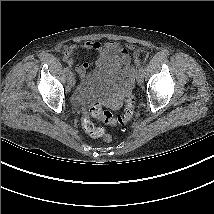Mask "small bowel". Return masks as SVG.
I'll list each match as a JSON object with an SVG mask.
<instances>
[{"mask_svg":"<svg viewBox=\"0 0 214 214\" xmlns=\"http://www.w3.org/2000/svg\"><path fill=\"white\" fill-rule=\"evenodd\" d=\"M127 49L133 52L135 63H139L140 50L138 47L132 44H128L126 46ZM124 46H122L118 42L107 41L104 43L98 41H84L79 44H74L69 46L68 52L69 55H72L74 51L77 49H85V50H94L98 53V58L96 61V66L100 70H106L110 66L116 67L119 64H122L124 67V71L126 74H129L131 70V58ZM119 53L121 57L116 54ZM65 60H68V57H65ZM71 64L70 61H67ZM92 65V62H84L82 64L77 65L76 70L80 75H84L86 70Z\"/></svg>","mask_w":214,"mask_h":214,"instance_id":"small-bowel-1","label":"small bowel"}]
</instances>
